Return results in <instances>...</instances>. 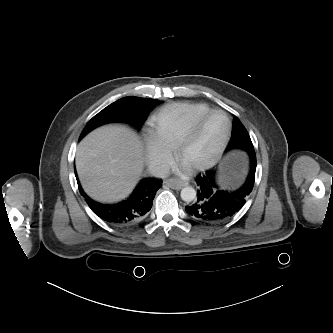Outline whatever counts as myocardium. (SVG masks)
<instances>
[{
  "instance_id": "1",
  "label": "myocardium",
  "mask_w": 333,
  "mask_h": 333,
  "mask_svg": "<svg viewBox=\"0 0 333 333\" xmlns=\"http://www.w3.org/2000/svg\"><path fill=\"white\" fill-rule=\"evenodd\" d=\"M215 114L222 115L226 119L227 127L225 130V133L209 159H207L203 162L188 166V169L192 172H200V171L207 170V169L213 167L219 161L220 157L222 156L223 152L225 151V149L228 145V142L230 140L231 133H232V121H231V118L229 117V115L221 109H211L210 111H208L207 113H205L204 115H202L201 117L197 118L195 121L192 122V124L188 127V129L183 134V136L181 137V139L178 141V143L176 144V146L174 148L175 159L178 162H180L184 152L186 151V149L188 148V146L190 145V143L196 136L201 125L208 118H210L211 116H213Z\"/></svg>"
}]
</instances>
